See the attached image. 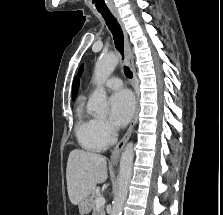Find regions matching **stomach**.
<instances>
[{"label": "stomach", "instance_id": "stomach-1", "mask_svg": "<svg viewBox=\"0 0 223 215\" xmlns=\"http://www.w3.org/2000/svg\"><path fill=\"white\" fill-rule=\"evenodd\" d=\"M91 202L88 201V199H82L79 203V211L80 213H89L91 211Z\"/></svg>", "mask_w": 223, "mask_h": 215}]
</instances>
